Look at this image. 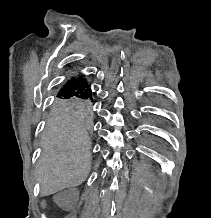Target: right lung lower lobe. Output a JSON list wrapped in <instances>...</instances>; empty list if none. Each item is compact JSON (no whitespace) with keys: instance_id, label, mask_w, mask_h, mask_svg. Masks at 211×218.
Wrapping results in <instances>:
<instances>
[{"instance_id":"98d812e1","label":"right lung lower lobe","mask_w":211,"mask_h":218,"mask_svg":"<svg viewBox=\"0 0 211 218\" xmlns=\"http://www.w3.org/2000/svg\"><path fill=\"white\" fill-rule=\"evenodd\" d=\"M56 97H77L93 100L91 88L83 76H75L67 79L60 87Z\"/></svg>"}]
</instances>
